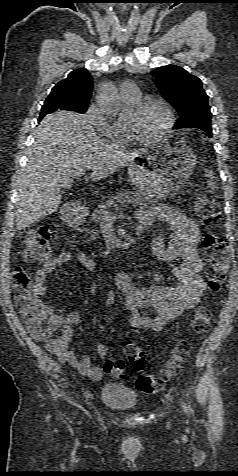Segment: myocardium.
<instances>
[{"label": "myocardium", "mask_w": 238, "mask_h": 476, "mask_svg": "<svg viewBox=\"0 0 238 476\" xmlns=\"http://www.w3.org/2000/svg\"><path fill=\"white\" fill-rule=\"evenodd\" d=\"M151 105H159L165 110L167 115V122L160 131L153 134H148V135L139 133L132 126L126 123L125 126L128 132L136 141L147 142V141H152V140H156L158 138L164 137L172 130L175 124V114H174L172 106L167 101L160 98H148V99L139 101L132 106V111L135 113H141L142 111H144L147 107Z\"/></svg>", "instance_id": "f54148a6"}]
</instances>
